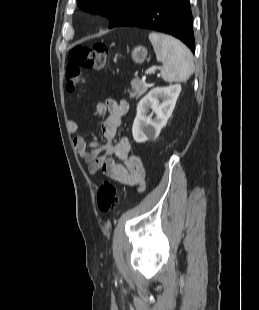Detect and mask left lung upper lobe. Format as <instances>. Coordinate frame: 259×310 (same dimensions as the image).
I'll use <instances>...</instances> for the list:
<instances>
[{"instance_id":"obj_1","label":"left lung upper lobe","mask_w":259,"mask_h":310,"mask_svg":"<svg viewBox=\"0 0 259 310\" xmlns=\"http://www.w3.org/2000/svg\"><path fill=\"white\" fill-rule=\"evenodd\" d=\"M150 0H77L78 7L92 14L108 17L116 25L125 15Z\"/></svg>"}]
</instances>
